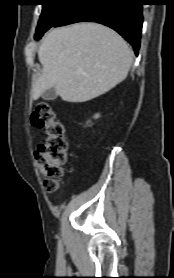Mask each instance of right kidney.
Wrapping results in <instances>:
<instances>
[{
	"mask_svg": "<svg viewBox=\"0 0 174 278\" xmlns=\"http://www.w3.org/2000/svg\"><path fill=\"white\" fill-rule=\"evenodd\" d=\"M99 117V114H96L95 116H94V118H98Z\"/></svg>",
	"mask_w": 174,
	"mask_h": 278,
	"instance_id": "ca27d5eb",
	"label": "right kidney"
}]
</instances>
